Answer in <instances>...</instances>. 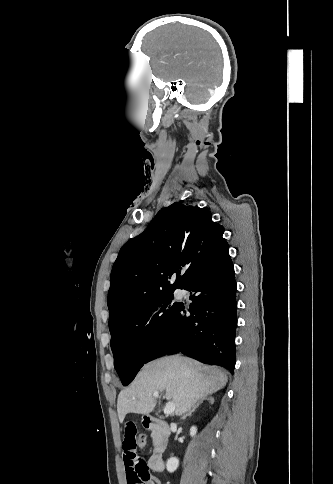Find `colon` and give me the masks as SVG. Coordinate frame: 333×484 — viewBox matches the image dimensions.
Listing matches in <instances>:
<instances>
[{"label":"colon","instance_id":"5ec220e1","mask_svg":"<svg viewBox=\"0 0 333 484\" xmlns=\"http://www.w3.org/2000/svg\"><path fill=\"white\" fill-rule=\"evenodd\" d=\"M136 444L139 447H144L146 444V436L142 433H140L137 438H136Z\"/></svg>","mask_w":333,"mask_h":484}]
</instances>
